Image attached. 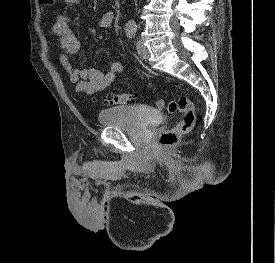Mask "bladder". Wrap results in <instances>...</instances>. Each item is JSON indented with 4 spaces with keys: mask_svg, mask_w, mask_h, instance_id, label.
Returning <instances> with one entry per match:
<instances>
[{
    "mask_svg": "<svg viewBox=\"0 0 275 263\" xmlns=\"http://www.w3.org/2000/svg\"><path fill=\"white\" fill-rule=\"evenodd\" d=\"M103 127H117L125 130H141L158 125L161 115L154 107L147 105L117 106L102 110L97 116Z\"/></svg>",
    "mask_w": 275,
    "mask_h": 263,
    "instance_id": "obj_1",
    "label": "bladder"
}]
</instances>
